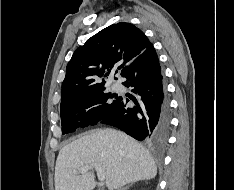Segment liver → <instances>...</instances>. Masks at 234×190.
<instances>
[{"instance_id": "liver-1", "label": "liver", "mask_w": 234, "mask_h": 190, "mask_svg": "<svg viewBox=\"0 0 234 190\" xmlns=\"http://www.w3.org/2000/svg\"><path fill=\"white\" fill-rule=\"evenodd\" d=\"M97 164L105 173L106 186L117 190L127 183L153 179L157 166L148 150L115 129H97L65 145L55 166V190H93V170L75 174L86 165ZM92 169V168H91Z\"/></svg>"}]
</instances>
